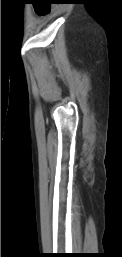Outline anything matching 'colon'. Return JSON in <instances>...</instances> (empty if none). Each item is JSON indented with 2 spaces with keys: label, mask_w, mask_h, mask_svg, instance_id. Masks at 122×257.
<instances>
[{
  "label": "colon",
  "mask_w": 122,
  "mask_h": 257,
  "mask_svg": "<svg viewBox=\"0 0 122 257\" xmlns=\"http://www.w3.org/2000/svg\"><path fill=\"white\" fill-rule=\"evenodd\" d=\"M35 10H52V5H35Z\"/></svg>",
  "instance_id": "1"
}]
</instances>
